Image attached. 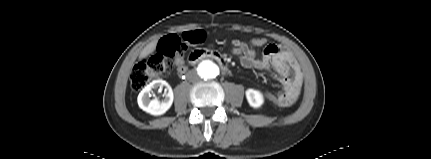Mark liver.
Wrapping results in <instances>:
<instances>
[{"label": "liver", "mask_w": 431, "mask_h": 159, "mask_svg": "<svg viewBox=\"0 0 431 159\" xmlns=\"http://www.w3.org/2000/svg\"><path fill=\"white\" fill-rule=\"evenodd\" d=\"M157 46V41H153L151 43H149L148 45H146L144 47V49L141 51L139 59H144L146 58L148 55H150L151 53H153L156 49Z\"/></svg>", "instance_id": "1"}]
</instances>
